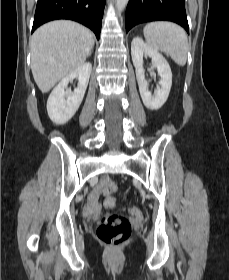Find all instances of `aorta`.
I'll use <instances>...</instances> for the list:
<instances>
[{
    "instance_id": "obj_1",
    "label": "aorta",
    "mask_w": 229,
    "mask_h": 280,
    "mask_svg": "<svg viewBox=\"0 0 229 280\" xmlns=\"http://www.w3.org/2000/svg\"><path fill=\"white\" fill-rule=\"evenodd\" d=\"M129 0H116V8L118 12H122Z\"/></svg>"
}]
</instances>
